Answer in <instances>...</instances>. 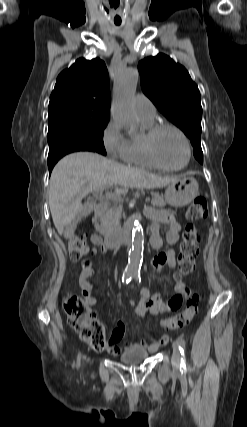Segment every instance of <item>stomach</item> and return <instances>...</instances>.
<instances>
[{
  "mask_svg": "<svg viewBox=\"0 0 247 427\" xmlns=\"http://www.w3.org/2000/svg\"><path fill=\"white\" fill-rule=\"evenodd\" d=\"M198 194L199 185L196 179L184 174L168 185L165 200L171 206L183 207L191 203Z\"/></svg>",
  "mask_w": 247,
  "mask_h": 427,
  "instance_id": "stomach-1",
  "label": "stomach"
}]
</instances>
